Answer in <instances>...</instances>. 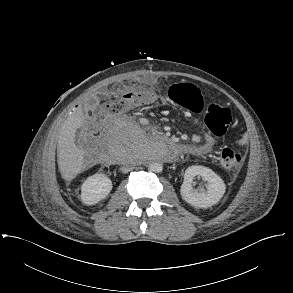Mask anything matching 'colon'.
I'll list each match as a JSON object with an SVG mask.
<instances>
[{
  "label": "colon",
  "mask_w": 293,
  "mask_h": 293,
  "mask_svg": "<svg viewBox=\"0 0 293 293\" xmlns=\"http://www.w3.org/2000/svg\"><path fill=\"white\" fill-rule=\"evenodd\" d=\"M171 101L182 108L198 113L203 109V97L199 88L191 83L174 85L170 91ZM154 101V96L147 89H134L121 98L113 100L101 107L95 114V122L99 124L107 118L147 106ZM232 121L230 109L218 104H211L206 111L204 123L215 135L221 136L229 129ZM221 165L231 171H237L242 163V158L234 149L224 146L218 151Z\"/></svg>",
  "instance_id": "1"
}]
</instances>
